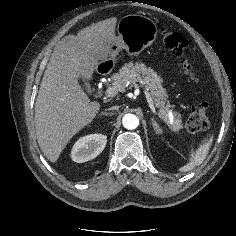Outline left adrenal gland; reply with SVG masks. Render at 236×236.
<instances>
[{
  "label": "left adrenal gland",
  "mask_w": 236,
  "mask_h": 236,
  "mask_svg": "<svg viewBox=\"0 0 236 236\" xmlns=\"http://www.w3.org/2000/svg\"><path fill=\"white\" fill-rule=\"evenodd\" d=\"M151 121H152V125H153L154 131L156 132V134H160L161 129H160L158 123L154 120V118H151Z\"/></svg>",
  "instance_id": "1"
}]
</instances>
